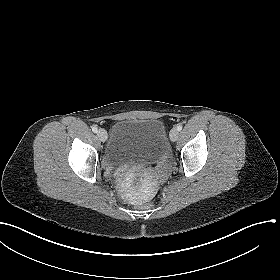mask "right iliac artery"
<instances>
[{
    "instance_id": "82829eb1",
    "label": "right iliac artery",
    "mask_w": 280,
    "mask_h": 280,
    "mask_svg": "<svg viewBox=\"0 0 280 280\" xmlns=\"http://www.w3.org/2000/svg\"><path fill=\"white\" fill-rule=\"evenodd\" d=\"M92 131H93L94 133H97L98 128H97L96 126H94V127H92Z\"/></svg>"
}]
</instances>
